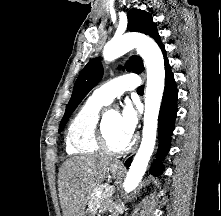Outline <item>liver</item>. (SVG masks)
<instances>
[{
	"mask_svg": "<svg viewBox=\"0 0 221 216\" xmlns=\"http://www.w3.org/2000/svg\"><path fill=\"white\" fill-rule=\"evenodd\" d=\"M111 162L105 156H76L59 171L58 191L63 216H82L91 192L105 179Z\"/></svg>",
	"mask_w": 221,
	"mask_h": 216,
	"instance_id": "1",
	"label": "liver"
}]
</instances>
